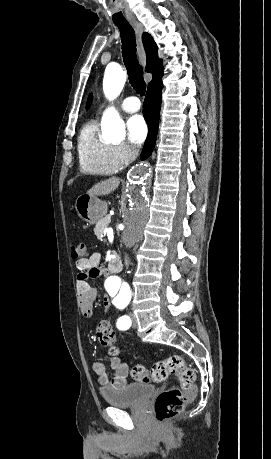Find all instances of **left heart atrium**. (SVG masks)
<instances>
[{"label":"left heart atrium","instance_id":"39dd6f15","mask_svg":"<svg viewBox=\"0 0 271 459\" xmlns=\"http://www.w3.org/2000/svg\"><path fill=\"white\" fill-rule=\"evenodd\" d=\"M128 139L134 145H140L147 136V125L140 115H134L127 122Z\"/></svg>","mask_w":271,"mask_h":459}]
</instances>
